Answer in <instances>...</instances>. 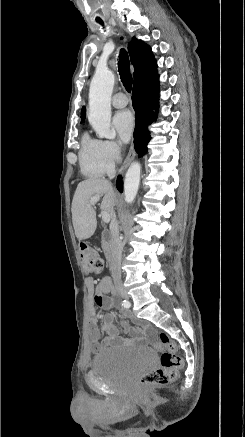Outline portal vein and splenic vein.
Segmentation results:
<instances>
[{"label": "portal vein and splenic vein", "instance_id": "18ae733b", "mask_svg": "<svg viewBox=\"0 0 245 437\" xmlns=\"http://www.w3.org/2000/svg\"><path fill=\"white\" fill-rule=\"evenodd\" d=\"M100 197L99 196H94L90 199V203L92 205H95L98 201H99ZM101 216H102V220L105 223H108L110 221V214L108 212L102 211L101 212Z\"/></svg>", "mask_w": 245, "mask_h": 437}]
</instances>
